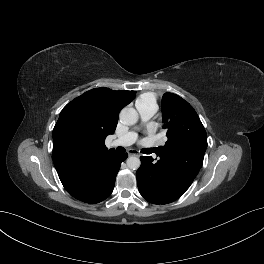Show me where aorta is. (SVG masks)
Returning a JSON list of instances; mask_svg holds the SVG:
<instances>
[{"mask_svg":"<svg viewBox=\"0 0 264 264\" xmlns=\"http://www.w3.org/2000/svg\"><path fill=\"white\" fill-rule=\"evenodd\" d=\"M121 123L125 125H134L138 121V113L134 108H123L119 114ZM127 166L129 169L137 170L140 167V159L131 156L127 159Z\"/></svg>","mask_w":264,"mask_h":264,"instance_id":"obj_1","label":"aorta"}]
</instances>
